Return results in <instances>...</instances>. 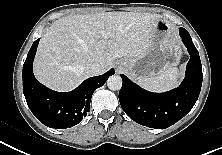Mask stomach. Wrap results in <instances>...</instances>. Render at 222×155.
Wrapping results in <instances>:
<instances>
[{"label":"stomach","instance_id":"1","mask_svg":"<svg viewBox=\"0 0 222 155\" xmlns=\"http://www.w3.org/2000/svg\"><path fill=\"white\" fill-rule=\"evenodd\" d=\"M181 48L172 27L163 19L155 21L149 48L144 56L125 58L120 66L130 77L140 79L158 75L178 65Z\"/></svg>","mask_w":222,"mask_h":155}]
</instances>
